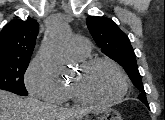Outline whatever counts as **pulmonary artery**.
Segmentation results:
<instances>
[{"label": "pulmonary artery", "mask_w": 165, "mask_h": 120, "mask_svg": "<svg viewBox=\"0 0 165 120\" xmlns=\"http://www.w3.org/2000/svg\"><path fill=\"white\" fill-rule=\"evenodd\" d=\"M90 43L81 36L73 37L68 45L67 52L75 59H84L90 53Z\"/></svg>", "instance_id": "pulmonary-artery-1"}]
</instances>
